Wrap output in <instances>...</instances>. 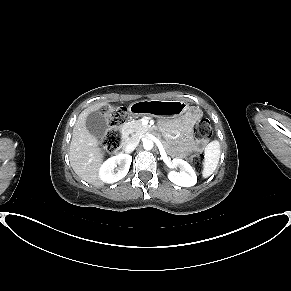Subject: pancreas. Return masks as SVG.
<instances>
[{"mask_svg":"<svg viewBox=\"0 0 291 291\" xmlns=\"http://www.w3.org/2000/svg\"><path fill=\"white\" fill-rule=\"evenodd\" d=\"M122 129L124 131H130L135 136H140L149 130L148 127L142 125L140 120L129 121L123 125ZM124 137L126 138V136Z\"/></svg>","mask_w":291,"mask_h":291,"instance_id":"obj_1","label":"pancreas"}]
</instances>
